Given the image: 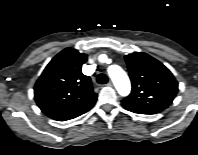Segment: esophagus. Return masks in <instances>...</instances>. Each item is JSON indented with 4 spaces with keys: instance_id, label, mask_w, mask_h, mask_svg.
Here are the masks:
<instances>
[{
    "instance_id": "1",
    "label": "esophagus",
    "mask_w": 198,
    "mask_h": 155,
    "mask_svg": "<svg viewBox=\"0 0 198 155\" xmlns=\"http://www.w3.org/2000/svg\"><path fill=\"white\" fill-rule=\"evenodd\" d=\"M107 86H113V82L110 80V81L107 83Z\"/></svg>"
}]
</instances>
